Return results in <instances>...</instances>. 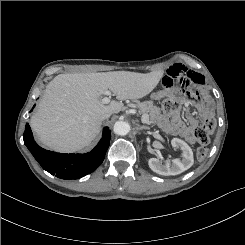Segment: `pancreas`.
I'll return each mask as SVG.
<instances>
[{"label": "pancreas", "instance_id": "pancreas-1", "mask_svg": "<svg viewBox=\"0 0 245 245\" xmlns=\"http://www.w3.org/2000/svg\"><path fill=\"white\" fill-rule=\"evenodd\" d=\"M140 114H147L149 117V123H153L156 116L160 114V110L152 102L137 103Z\"/></svg>", "mask_w": 245, "mask_h": 245}]
</instances>
